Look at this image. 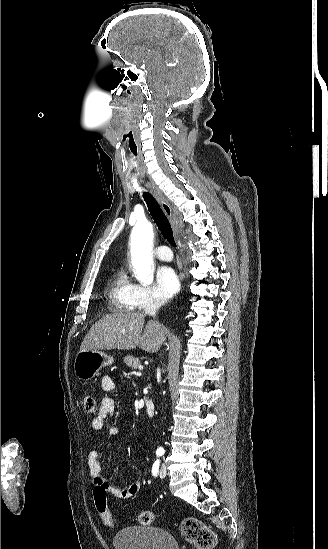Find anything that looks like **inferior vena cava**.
Masks as SVG:
<instances>
[{
    "label": "inferior vena cava",
    "mask_w": 328,
    "mask_h": 549,
    "mask_svg": "<svg viewBox=\"0 0 328 549\" xmlns=\"http://www.w3.org/2000/svg\"><path fill=\"white\" fill-rule=\"evenodd\" d=\"M160 307H162V301H160V299H150L145 305L144 313L145 315L156 317Z\"/></svg>",
    "instance_id": "inferior-vena-cava-1"
}]
</instances>
